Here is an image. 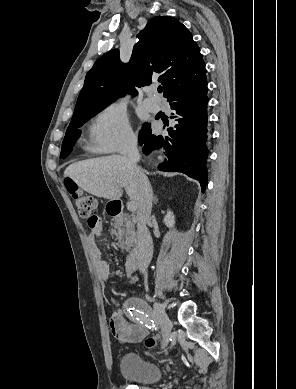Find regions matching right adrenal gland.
<instances>
[{"label":"right adrenal gland","mask_w":296,"mask_h":389,"mask_svg":"<svg viewBox=\"0 0 296 389\" xmlns=\"http://www.w3.org/2000/svg\"><path fill=\"white\" fill-rule=\"evenodd\" d=\"M153 200H154V204L156 205V204L158 203V198H157V196L154 195Z\"/></svg>","instance_id":"1"}]
</instances>
